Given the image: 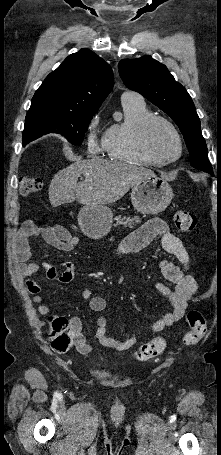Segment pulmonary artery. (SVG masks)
Returning a JSON list of instances; mask_svg holds the SVG:
<instances>
[{
  "instance_id": "pulmonary-artery-1",
  "label": "pulmonary artery",
  "mask_w": 221,
  "mask_h": 455,
  "mask_svg": "<svg viewBox=\"0 0 221 455\" xmlns=\"http://www.w3.org/2000/svg\"><path fill=\"white\" fill-rule=\"evenodd\" d=\"M121 99L123 100H134V101H139L143 102V97L138 94L137 92L126 90L122 93Z\"/></svg>"
}]
</instances>
